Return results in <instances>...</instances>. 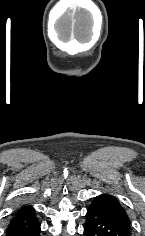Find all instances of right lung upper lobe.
<instances>
[{
    "instance_id": "1",
    "label": "right lung upper lobe",
    "mask_w": 145,
    "mask_h": 236,
    "mask_svg": "<svg viewBox=\"0 0 145 236\" xmlns=\"http://www.w3.org/2000/svg\"><path fill=\"white\" fill-rule=\"evenodd\" d=\"M28 207H30V206H23V207H21L20 209H24V208H28ZM20 209H19V210H20Z\"/></svg>"
}]
</instances>
